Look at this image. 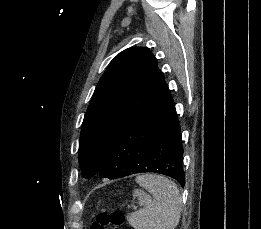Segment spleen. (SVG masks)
Instances as JSON below:
<instances>
[{
	"label": "spleen",
	"mask_w": 261,
	"mask_h": 229,
	"mask_svg": "<svg viewBox=\"0 0 261 229\" xmlns=\"http://www.w3.org/2000/svg\"><path fill=\"white\" fill-rule=\"evenodd\" d=\"M136 183L148 191L134 189L133 197L143 207L127 219L134 229H176L181 217V197L176 183L161 175H140Z\"/></svg>",
	"instance_id": "1"
}]
</instances>
